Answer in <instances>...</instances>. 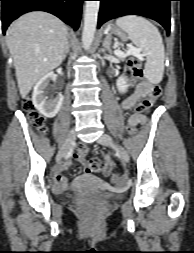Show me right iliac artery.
Here are the masks:
<instances>
[{"instance_id":"1","label":"right iliac artery","mask_w":194,"mask_h":253,"mask_svg":"<svg viewBox=\"0 0 194 253\" xmlns=\"http://www.w3.org/2000/svg\"><path fill=\"white\" fill-rule=\"evenodd\" d=\"M71 152H72V151L68 152L67 157H69V156L71 155Z\"/></svg>"}]
</instances>
